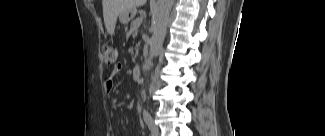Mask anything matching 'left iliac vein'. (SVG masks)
I'll use <instances>...</instances> for the list:
<instances>
[{
  "instance_id": "obj_1",
  "label": "left iliac vein",
  "mask_w": 325,
  "mask_h": 136,
  "mask_svg": "<svg viewBox=\"0 0 325 136\" xmlns=\"http://www.w3.org/2000/svg\"><path fill=\"white\" fill-rule=\"evenodd\" d=\"M151 134L152 136H159L160 134L159 128L155 123L153 124V127L151 129Z\"/></svg>"
}]
</instances>
